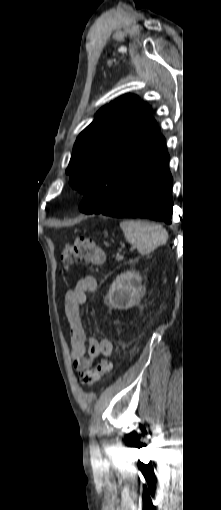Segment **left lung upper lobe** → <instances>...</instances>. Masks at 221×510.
I'll list each match as a JSON object with an SVG mask.
<instances>
[{"instance_id":"1","label":"left lung upper lobe","mask_w":221,"mask_h":510,"mask_svg":"<svg viewBox=\"0 0 221 510\" xmlns=\"http://www.w3.org/2000/svg\"><path fill=\"white\" fill-rule=\"evenodd\" d=\"M151 108L124 95L95 115L78 136L66 170L92 208L107 206L154 156L166 150Z\"/></svg>"}]
</instances>
